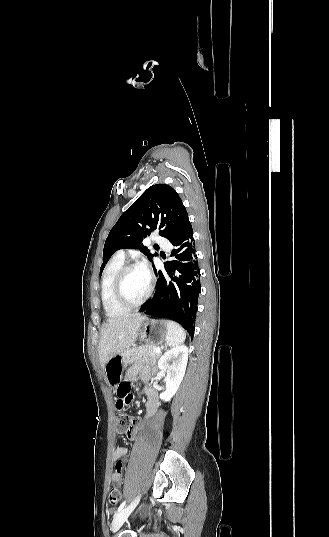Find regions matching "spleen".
Here are the masks:
<instances>
[{
  "label": "spleen",
  "mask_w": 329,
  "mask_h": 537,
  "mask_svg": "<svg viewBox=\"0 0 329 537\" xmlns=\"http://www.w3.org/2000/svg\"><path fill=\"white\" fill-rule=\"evenodd\" d=\"M186 331L176 322L168 321V335L166 344L169 347H175L184 343Z\"/></svg>",
  "instance_id": "3e777b00"
}]
</instances>
